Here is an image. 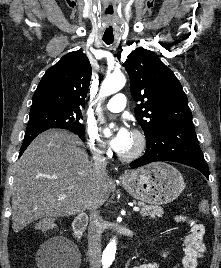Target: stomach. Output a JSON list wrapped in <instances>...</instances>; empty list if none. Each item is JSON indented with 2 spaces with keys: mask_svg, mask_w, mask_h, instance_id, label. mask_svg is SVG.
Here are the masks:
<instances>
[{
  "mask_svg": "<svg viewBox=\"0 0 221 268\" xmlns=\"http://www.w3.org/2000/svg\"><path fill=\"white\" fill-rule=\"evenodd\" d=\"M121 182L135 199L153 206L174 201L185 187L181 173L164 162L128 171L121 178Z\"/></svg>",
  "mask_w": 221,
  "mask_h": 268,
  "instance_id": "0dacf381",
  "label": "stomach"
}]
</instances>
